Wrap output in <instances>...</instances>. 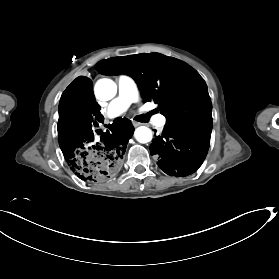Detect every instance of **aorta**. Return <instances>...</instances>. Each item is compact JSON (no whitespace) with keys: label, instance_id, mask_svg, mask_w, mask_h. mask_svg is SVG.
<instances>
[{"label":"aorta","instance_id":"762f6f07","mask_svg":"<svg viewBox=\"0 0 279 279\" xmlns=\"http://www.w3.org/2000/svg\"><path fill=\"white\" fill-rule=\"evenodd\" d=\"M95 96L102 101L112 99L117 93V85L111 79L103 78L94 87ZM135 138L140 143H147L152 139V132L148 127L140 126L135 130Z\"/></svg>","mask_w":279,"mask_h":279}]
</instances>
